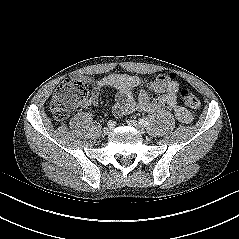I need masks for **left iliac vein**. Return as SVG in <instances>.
Wrapping results in <instances>:
<instances>
[{
  "label": "left iliac vein",
  "instance_id": "1",
  "mask_svg": "<svg viewBox=\"0 0 239 239\" xmlns=\"http://www.w3.org/2000/svg\"><path fill=\"white\" fill-rule=\"evenodd\" d=\"M127 124L129 126L134 127L139 133H141V134L145 133L144 127L140 123H138L137 121H135V120H128Z\"/></svg>",
  "mask_w": 239,
  "mask_h": 239
}]
</instances>
